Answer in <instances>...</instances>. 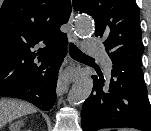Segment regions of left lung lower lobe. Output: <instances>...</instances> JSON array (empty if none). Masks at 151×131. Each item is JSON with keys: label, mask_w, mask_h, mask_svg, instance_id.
<instances>
[{"label": "left lung lower lobe", "mask_w": 151, "mask_h": 131, "mask_svg": "<svg viewBox=\"0 0 151 131\" xmlns=\"http://www.w3.org/2000/svg\"><path fill=\"white\" fill-rule=\"evenodd\" d=\"M98 75L92 76L93 90L81 111L83 131L117 127L151 131V105L142 69L113 67L106 83Z\"/></svg>", "instance_id": "left-lung-lower-lobe-1"}]
</instances>
